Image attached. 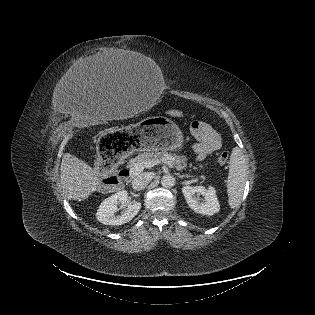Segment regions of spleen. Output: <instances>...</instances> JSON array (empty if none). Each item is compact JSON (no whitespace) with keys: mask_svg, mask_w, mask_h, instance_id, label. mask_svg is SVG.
<instances>
[{"mask_svg":"<svg viewBox=\"0 0 315 315\" xmlns=\"http://www.w3.org/2000/svg\"><path fill=\"white\" fill-rule=\"evenodd\" d=\"M229 175L227 180L228 203L235 208L243 195L248 170V162L243 152L235 147L230 157Z\"/></svg>","mask_w":315,"mask_h":315,"instance_id":"obj_1","label":"spleen"}]
</instances>
